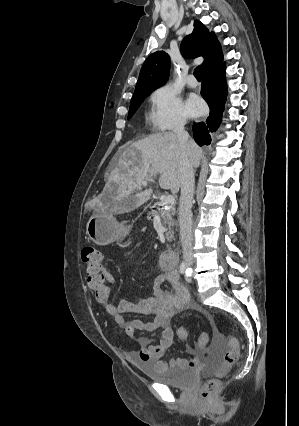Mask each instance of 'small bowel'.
<instances>
[{"label": "small bowel", "instance_id": "c3829d8e", "mask_svg": "<svg viewBox=\"0 0 299 426\" xmlns=\"http://www.w3.org/2000/svg\"><path fill=\"white\" fill-rule=\"evenodd\" d=\"M163 274L157 276L153 283V294L150 297L139 299L135 302L121 300L113 303V298L105 304L106 310L113 315L116 322L121 325L126 334L138 344V349L129 353L132 362L149 361L158 369L168 367L194 368L202 358V348L187 345L186 350L191 358H172L168 362L162 360L166 350L172 345L174 332L170 320L179 312L196 308L185 287L179 282L176 266H162ZM105 282L110 286L116 284L115 276L103 265L101 268ZM171 285V290L165 288V284ZM151 315L152 321L144 322L139 319L127 320L125 314ZM137 331H160V339L157 344L147 336L135 337Z\"/></svg>", "mask_w": 299, "mask_h": 426}]
</instances>
